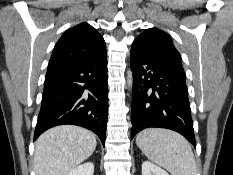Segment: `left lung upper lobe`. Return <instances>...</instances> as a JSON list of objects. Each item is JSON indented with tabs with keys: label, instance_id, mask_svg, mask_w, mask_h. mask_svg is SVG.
I'll list each match as a JSON object with an SVG mask.
<instances>
[{
	"label": "left lung upper lobe",
	"instance_id": "left-lung-upper-lobe-1",
	"mask_svg": "<svg viewBox=\"0 0 233 175\" xmlns=\"http://www.w3.org/2000/svg\"><path fill=\"white\" fill-rule=\"evenodd\" d=\"M152 58L178 70L184 71L181 56L173 45L171 38L157 28H149L133 42Z\"/></svg>",
	"mask_w": 233,
	"mask_h": 175
}]
</instances>
